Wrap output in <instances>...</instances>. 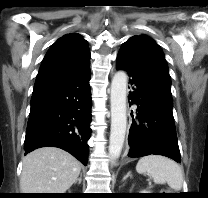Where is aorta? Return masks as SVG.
Here are the masks:
<instances>
[{"label": "aorta", "instance_id": "762f6f07", "mask_svg": "<svg viewBox=\"0 0 208 198\" xmlns=\"http://www.w3.org/2000/svg\"><path fill=\"white\" fill-rule=\"evenodd\" d=\"M127 82L126 73L118 71L111 83V129L108 152L112 162L119 158L125 140L127 127Z\"/></svg>", "mask_w": 208, "mask_h": 198}]
</instances>
